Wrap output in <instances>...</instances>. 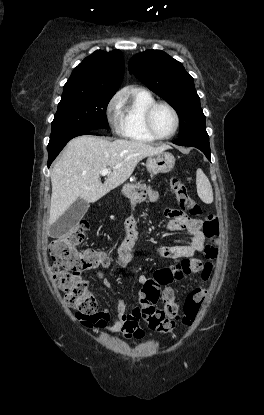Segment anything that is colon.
I'll list each match as a JSON object with an SVG mask.
<instances>
[{
    "label": "colon",
    "mask_w": 264,
    "mask_h": 415,
    "mask_svg": "<svg viewBox=\"0 0 264 415\" xmlns=\"http://www.w3.org/2000/svg\"><path fill=\"white\" fill-rule=\"evenodd\" d=\"M169 185L175 193L180 205L188 210L193 217L201 216L202 212L191 198L187 188L172 177ZM89 224L79 221L69 232L54 240L48 249V259L53 280L63 293L65 305L76 311V317L86 324L96 321V297L89 283L82 278L81 273L89 268L103 266L109 258L103 252L95 249H80L86 239ZM203 232L207 240L204 251V264L201 267V279L208 282L213 275L215 261L219 254L218 236L220 225L214 213L207 214L203 219ZM201 261L197 258L186 259L173 267L157 271L154 277L143 284L139 294L140 319L152 330L169 332L177 324L189 326L195 320L202 303L207 295V288H194L186 297L179 310L173 290L161 291L172 282L180 280L198 270ZM164 302L163 309H157L159 299Z\"/></svg>",
    "instance_id": "1"
}]
</instances>
